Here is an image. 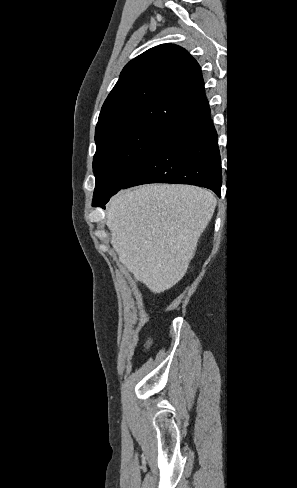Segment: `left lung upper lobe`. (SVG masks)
Instances as JSON below:
<instances>
[{
	"label": "left lung upper lobe",
	"instance_id": "1",
	"mask_svg": "<svg viewBox=\"0 0 297 488\" xmlns=\"http://www.w3.org/2000/svg\"><path fill=\"white\" fill-rule=\"evenodd\" d=\"M227 137H228V138H227V141H228L227 143H229V136H227ZM227 145H228V144H227ZM227 147H228V146H227ZM227 149H228V148H227Z\"/></svg>",
	"mask_w": 297,
	"mask_h": 488
}]
</instances>
